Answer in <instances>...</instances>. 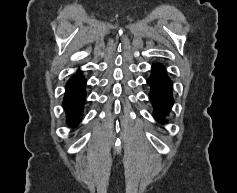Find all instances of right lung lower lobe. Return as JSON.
<instances>
[{
	"mask_svg": "<svg viewBox=\"0 0 237 193\" xmlns=\"http://www.w3.org/2000/svg\"><path fill=\"white\" fill-rule=\"evenodd\" d=\"M85 84L86 80L80 72H77L66 84L63 104L67 113V123L70 126H76L82 118L86 96Z\"/></svg>",
	"mask_w": 237,
	"mask_h": 193,
	"instance_id": "98d812e1",
	"label": "right lung lower lobe"
}]
</instances>
